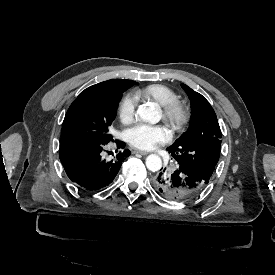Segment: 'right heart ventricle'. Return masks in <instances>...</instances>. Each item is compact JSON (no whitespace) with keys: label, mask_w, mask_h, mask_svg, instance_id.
<instances>
[{"label":"right heart ventricle","mask_w":275,"mask_h":275,"mask_svg":"<svg viewBox=\"0 0 275 275\" xmlns=\"http://www.w3.org/2000/svg\"><path fill=\"white\" fill-rule=\"evenodd\" d=\"M139 98H146L164 105L176 99V94L167 86L160 83L148 84L135 91Z\"/></svg>","instance_id":"right-heart-ventricle-1"}]
</instances>
